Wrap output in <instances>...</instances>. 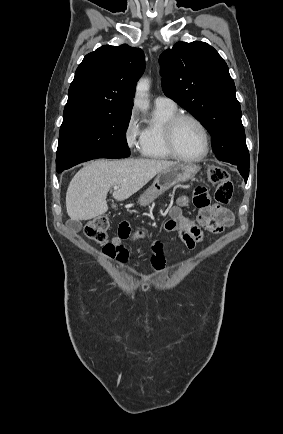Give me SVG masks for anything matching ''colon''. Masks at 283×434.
Instances as JSON below:
<instances>
[{
  "mask_svg": "<svg viewBox=\"0 0 283 434\" xmlns=\"http://www.w3.org/2000/svg\"><path fill=\"white\" fill-rule=\"evenodd\" d=\"M209 181L216 186L214 199L219 205H226L233 196V182L228 171L221 166H212L208 169ZM110 221L106 215L98 216L86 225V235L89 239L103 244L107 240V231Z\"/></svg>",
  "mask_w": 283,
  "mask_h": 434,
  "instance_id": "colon-1",
  "label": "colon"
}]
</instances>
